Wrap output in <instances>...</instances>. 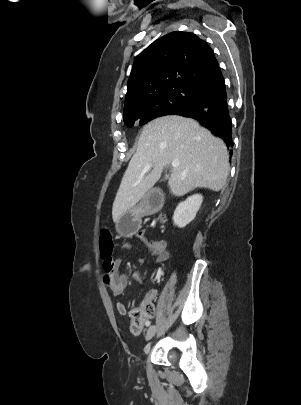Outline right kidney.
Wrapping results in <instances>:
<instances>
[{
	"label": "right kidney",
	"mask_w": 301,
	"mask_h": 405,
	"mask_svg": "<svg viewBox=\"0 0 301 405\" xmlns=\"http://www.w3.org/2000/svg\"><path fill=\"white\" fill-rule=\"evenodd\" d=\"M203 202V196L195 194L180 202L173 215L174 225L183 228L188 225L196 216Z\"/></svg>",
	"instance_id": "1"
}]
</instances>
